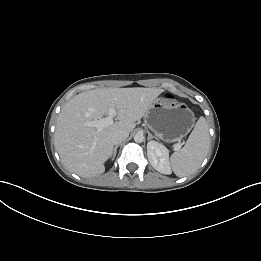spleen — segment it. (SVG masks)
<instances>
[{"mask_svg": "<svg viewBox=\"0 0 261 261\" xmlns=\"http://www.w3.org/2000/svg\"><path fill=\"white\" fill-rule=\"evenodd\" d=\"M210 148L208 124L200 117L182 150L171 155L170 163L178 177L193 174L198 170Z\"/></svg>", "mask_w": 261, "mask_h": 261, "instance_id": "3e777b00", "label": "spleen"}]
</instances>
